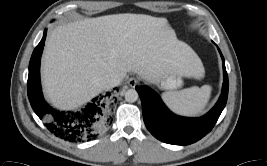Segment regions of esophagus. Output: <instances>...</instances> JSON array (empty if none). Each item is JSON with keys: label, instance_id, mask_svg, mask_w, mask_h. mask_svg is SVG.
<instances>
[{"label": "esophagus", "instance_id": "esophagus-1", "mask_svg": "<svg viewBox=\"0 0 267 166\" xmlns=\"http://www.w3.org/2000/svg\"><path fill=\"white\" fill-rule=\"evenodd\" d=\"M127 84L134 88L136 85H138V80L135 77H130L127 79Z\"/></svg>", "mask_w": 267, "mask_h": 166}]
</instances>
